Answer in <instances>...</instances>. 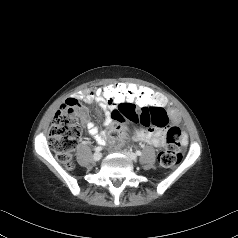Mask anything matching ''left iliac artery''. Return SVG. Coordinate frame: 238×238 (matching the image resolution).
Returning a JSON list of instances; mask_svg holds the SVG:
<instances>
[{"mask_svg":"<svg viewBox=\"0 0 238 238\" xmlns=\"http://www.w3.org/2000/svg\"><path fill=\"white\" fill-rule=\"evenodd\" d=\"M136 155L141 156L142 155L141 151H136Z\"/></svg>","mask_w":238,"mask_h":238,"instance_id":"left-iliac-artery-1","label":"left iliac artery"}]
</instances>
